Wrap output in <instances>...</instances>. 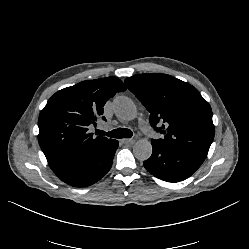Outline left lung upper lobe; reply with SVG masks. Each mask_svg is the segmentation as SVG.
I'll use <instances>...</instances> for the list:
<instances>
[{
    "label": "left lung upper lobe",
    "mask_w": 249,
    "mask_h": 249,
    "mask_svg": "<svg viewBox=\"0 0 249 249\" xmlns=\"http://www.w3.org/2000/svg\"><path fill=\"white\" fill-rule=\"evenodd\" d=\"M125 84L150 112L151 126L165 135L158 143L207 156L215 128L211 107L196 88L161 73L134 75Z\"/></svg>",
    "instance_id": "left-lung-upper-lobe-1"
}]
</instances>
